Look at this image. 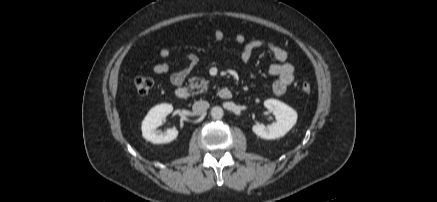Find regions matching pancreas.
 <instances>
[{
	"mask_svg": "<svg viewBox=\"0 0 437 202\" xmlns=\"http://www.w3.org/2000/svg\"><path fill=\"white\" fill-rule=\"evenodd\" d=\"M209 81L204 78L192 77L189 79V87L191 89H197L198 92H204L208 89Z\"/></svg>",
	"mask_w": 437,
	"mask_h": 202,
	"instance_id": "cf45deb5",
	"label": "pancreas"
}]
</instances>
